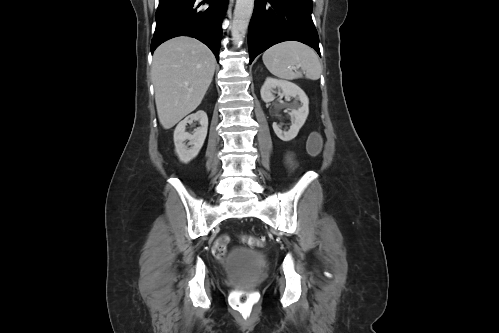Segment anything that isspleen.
<instances>
[{"label": "spleen", "mask_w": 499, "mask_h": 333, "mask_svg": "<svg viewBox=\"0 0 499 333\" xmlns=\"http://www.w3.org/2000/svg\"><path fill=\"white\" fill-rule=\"evenodd\" d=\"M262 60L271 74L281 79L293 80L303 77L317 80L322 66L317 54L307 45L296 41L276 44L263 53ZM293 66L301 71H293Z\"/></svg>", "instance_id": "obj_1"}]
</instances>
